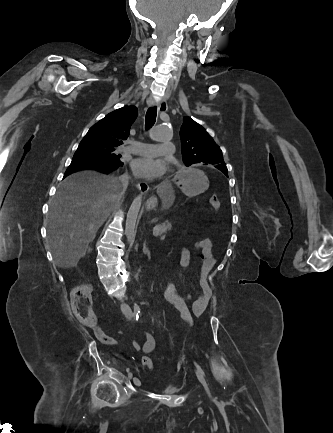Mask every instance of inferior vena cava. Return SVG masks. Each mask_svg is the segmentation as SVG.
<instances>
[{"instance_id": "1", "label": "inferior vena cava", "mask_w": 333, "mask_h": 433, "mask_svg": "<svg viewBox=\"0 0 333 433\" xmlns=\"http://www.w3.org/2000/svg\"><path fill=\"white\" fill-rule=\"evenodd\" d=\"M129 179H130L129 176L126 173L117 179L118 180V188H119L122 196L124 195V193L128 187ZM122 311H123V314L127 320H131L133 318V313H132V310L129 306L124 305L122 308Z\"/></svg>"}]
</instances>
